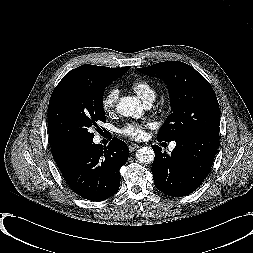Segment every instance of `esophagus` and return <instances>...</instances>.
<instances>
[{"instance_id":"esophagus-1","label":"esophagus","mask_w":253,"mask_h":253,"mask_svg":"<svg viewBox=\"0 0 253 253\" xmlns=\"http://www.w3.org/2000/svg\"><path fill=\"white\" fill-rule=\"evenodd\" d=\"M138 148H139V145H137V144L132 143V144L129 145V150H130V152H134V151H136Z\"/></svg>"}]
</instances>
